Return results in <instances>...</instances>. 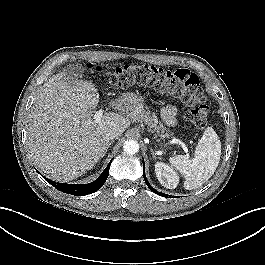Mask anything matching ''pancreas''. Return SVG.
<instances>
[{
  "label": "pancreas",
  "mask_w": 265,
  "mask_h": 265,
  "mask_svg": "<svg viewBox=\"0 0 265 265\" xmlns=\"http://www.w3.org/2000/svg\"><path fill=\"white\" fill-rule=\"evenodd\" d=\"M129 116L138 122H144L149 126V131L154 132L157 131L158 133H163L166 130L163 125L159 124L156 115L153 113L151 114L148 110L146 111L142 105L138 106L133 112L129 114Z\"/></svg>",
  "instance_id": "cf45deb5"
}]
</instances>
